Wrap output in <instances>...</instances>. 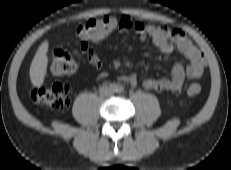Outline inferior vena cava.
<instances>
[{"label": "inferior vena cava", "instance_id": "1", "mask_svg": "<svg viewBox=\"0 0 231 170\" xmlns=\"http://www.w3.org/2000/svg\"><path fill=\"white\" fill-rule=\"evenodd\" d=\"M100 94L101 95H111L112 94V90L108 87H101L100 88Z\"/></svg>", "mask_w": 231, "mask_h": 170}]
</instances>
